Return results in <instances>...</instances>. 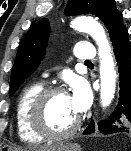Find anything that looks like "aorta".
I'll return each mask as SVG.
<instances>
[{
    "label": "aorta",
    "instance_id": "762f6f07",
    "mask_svg": "<svg viewBox=\"0 0 131 151\" xmlns=\"http://www.w3.org/2000/svg\"><path fill=\"white\" fill-rule=\"evenodd\" d=\"M71 26L81 32L88 33L98 45L100 58V100L103 107L112 102L116 90V71L109 42L103 27L91 17L80 16L71 22Z\"/></svg>",
    "mask_w": 131,
    "mask_h": 151
}]
</instances>
